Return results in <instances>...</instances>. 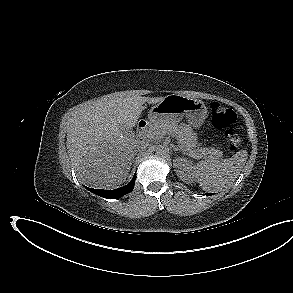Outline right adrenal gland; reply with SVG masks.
Listing matches in <instances>:
<instances>
[{
	"label": "right adrenal gland",
	"mask_w": 293,
	"mask_h": 293,
	"mask_svg": "<svg viewBox=\"0 0 293 293\" xmlns=\"http://www.w3.org/2000/svg\"><path fill=\"white\" fill-rule=\"evenodd\" d=\"M133 159H134V156H133ZM133 159H132V162H131V164H132V163H133V161H134Z\"/></svg>",
	"instance_id": "1"
}]
</instances>
